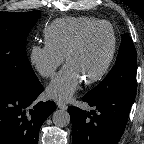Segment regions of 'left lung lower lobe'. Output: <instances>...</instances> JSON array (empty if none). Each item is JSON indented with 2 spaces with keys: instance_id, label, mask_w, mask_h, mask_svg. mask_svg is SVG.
Here are the masks:
<instances>
[{
  "instance_id": "1",
  "label": "left lung lower lobe",
  "mask_w": 144,
  "mask_h": 144,
  "mask_svg": "<svg viewBox=\"0 0 144 144\" xmlns=\"http://www.w3.org/2000/svg\"><path fill=\"white\" fill-rule=\"evenodd\" d=\"M135 95L87 93L82 100L95 110L69 107L73 144H117L125 130Z\"/></svg>"
}]
</instances>
